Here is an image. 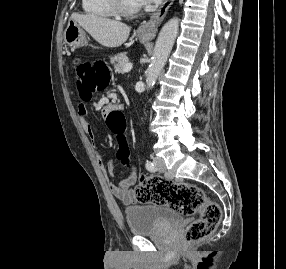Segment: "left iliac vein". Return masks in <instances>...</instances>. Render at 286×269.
Segmentation results:
<instances>
[{"label":"left iliac vein","mask_w":286,"mask_h":269,"mask_svg":"<svg viewBox=\"0 0 286 269\" xmlns=\"http://www.w3.org/2000/svg\"><path fill=\"white\" fill-rule=\"evenodd\" d=\"M154 163L157 165L159 171H161V172H165L166 171L165 162H164V160L162 158L155 157L154 158Z\"/></svg>","instance_id":"1"}]
</instances>
